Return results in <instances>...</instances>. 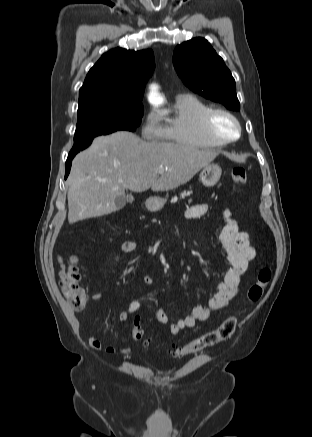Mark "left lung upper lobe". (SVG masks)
Listing matches in <instances>:
<instances>
[{"mask_svg":"<svg viewBox=\"0 0 312 437\" xmlns=\"http://www.w3.org/2000/svg\"><path fill=\"white\" fill-rule=\"evenodd\" d=\"M174 67L183 83L205 98L239 111L235 80L223 59L204 38L178 45L173 54Z\"/></svg>","mask_w":312,"mask_h":437,"instance_id":"5c2ea615","label":"left lung upper lobe"}]
</instances>
